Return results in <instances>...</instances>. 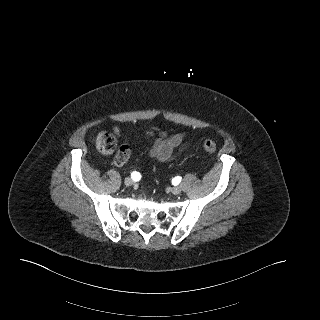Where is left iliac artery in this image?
<instances>
[{"instance_id":"44dca946","label":"left iliac artery","mask_w":320,"mask_h":320,"mask_svg":"<svg viewBox=\"0 0 320 320\" xmlns=\"http://www.w3.org/2000/svg\"><path fill=\"white\" fill-rule=\"evenodd\" d=\"M181 177L180 176H177V177H175L174 179H173V183L175 184V185H177L180 181H181Z\"/></svg>"}]
</instances>
